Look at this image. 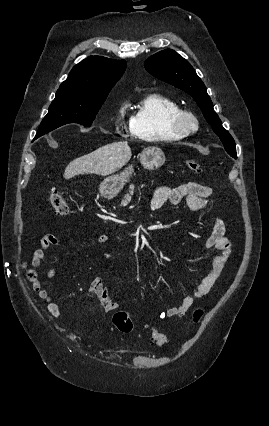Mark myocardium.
Returning <instances> with one entry per match:
<instances>
[{
  "instance_id": "myocardium-1",
  "label": "myocardium",
  "mask_w": 269,
  "mask_h": 426,
  "mask_svg": "<svg viewBox=\"0 0 269 426\" xmlns=\"http://www.w3.org/2000/svg\"><path fill=\"white\" fill-rule=\"evenodd\" d=\"M170 128L181 136H188L194 133L199 126L196 115L186 109H178L168 117Z\"/></svg>"
}]
</instances>
